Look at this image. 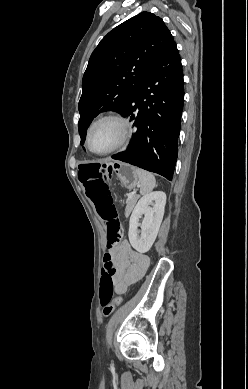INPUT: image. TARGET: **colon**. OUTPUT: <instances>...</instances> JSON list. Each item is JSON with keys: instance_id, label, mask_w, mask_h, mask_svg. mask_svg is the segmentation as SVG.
Masks as SVG:
<instances>
[{"instance_id": "5ec220e1", "label": "colon", "mask_w": 248, "mask_h": 389, "mask_svg": "<svg viewBox=\"0 0 248 389\" xmlns=\"http://www.w3.org/2000/svg\"><path fill=\"white\" fill-rule=\"evenodd\" d=\"M80 177L86 195L95 204L97 213L106 223L107 247L117 246L123 236V225L113 203L109 186L110 161H81ZM116 268L110 254L104 255V267L100 282V304L103 315H112L116 306L122 303L123 296L114 297V276Z\"/></svg>"}]
</instances>
